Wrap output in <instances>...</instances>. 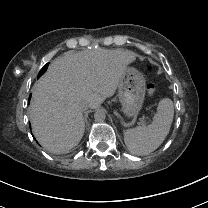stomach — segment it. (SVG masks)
<instances>
[{
    "label": "stomach",
    "instance_id": "obj_1",
    "mask_svg": "<svg viewBox=\"0 0 208 208\" xmlns=\"http://www.w3.org/2000/svg\"><path fill=\"white\" fill-rule=\"evenodd\" d=\"M118 87L122 114L128 119L136 118L144 104L146 92L144 76L139 71L128 68Z\"/></svg>",
    "mask_w": 208,
    "mask_h": 208
}]
</instances>
